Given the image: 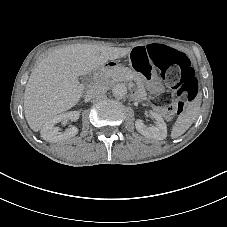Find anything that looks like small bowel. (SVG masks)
Segmentation results:
<instances>
[{"label": "small bowel", "instance_id": "obj_1", "mask_svg": "<svg viewBox=\"0 0 227 227\" xmlns=\"http://www.w3.org/2000/svg\"><path fill=\"white\" fill-rule=\"evenodd\" d=\"M148 46L149 45L140 46V47L135 48L133 51H139V52L143 53L144 55H146L148 58ZM148 61L150 62L149 58H148Z\"/></svg>", "mask_w": 227, "mask_h": 227}]
</instances>
